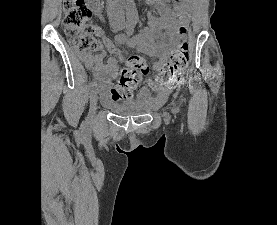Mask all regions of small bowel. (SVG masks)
Here are the masks:
<instances>
[{
	"label": "small bowel",
	"mask_w": 277,
	"mask_h": 225,
	"mask_svg": "<svg viewBox=\"0 0 277 225\" xmlns=\"http://www.w3.org/2000/svg\"><path fill=\"white\" fill-rule=\"evenodd\" d=\"M147 4L155 5L160 10V18L151 17L148 27L145 28L142 34L130 37V35L117 36L115 41L104 37L103 42L106 50L113 54L104 63V53L91 55L89 53L81 52L79 57L82 62L91 70L94 85L103 95L106 94L107 88L118 72V60L124 57L120 45L127 43L129 47L135 48L138 51L156 58L154 62V69L160 70L163 66L169 45L175 40V26L174 13L168 8L164 7L163 0H146ZM90 5L94 12L101 17V8L96 0H90ZM175 9L180 11V14L185 19H189V11L180 4L175 5ZM149 85L155 90V101L157 103L164 102L172 86L157 87L153 80L148 81ZM148 90L144 88L142 95H146Z\"/></svg>",
	"instance_id": "1"
}]
</instances>
